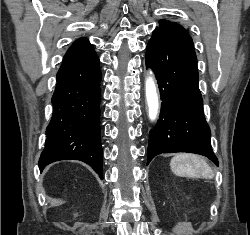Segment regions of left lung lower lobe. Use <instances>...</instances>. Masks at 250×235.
I'll list each match as a JSON object with an SVG mask.
<instances>
[{
  "label": "left lung lower lobe",
  "instance_id": "1",
  "mask_svg": "<svg viewBox=\"0 0 250 235\" xmlns=\"http://www.w3.org/2000/svg\"><path fill=\"white\" fill-rule=\"evenodd\" d=\"M145 62L155 73L162 100L158 123L149 133L147 165L156 155L174 152L200 154L218 165L203 115L190 35L155 31Z\"/></svg>",
  "mask_w": 250,
  "mask_h": 235
}]
</instances>
